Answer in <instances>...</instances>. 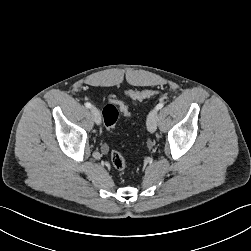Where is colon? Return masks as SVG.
<instances>
[{
  "label": "colon",
  "mask_w": 251,
  "mask_h": 251,
  "mask_svg": "<svg viewBox=\"0 0 251 251\" xmlns=\"http://www.w3.org/2000/svg\"><path fill=\"white\" fill-rule=\"evenodd\" d=\"M156 93L155 90L145 89V90H128L126 95L134 100H143ZM119 112H122L124 115L129 116L130 111L128 106L116 99L114 96L110 98L108 104H106L102 110V116L105 123V126L108 129H113L119 116ZM110 159L113 167L119 171H123L126 168L125 158L118 151H111Z\"/></svg>",
  "instance_id": "colon-1"
}]
</instances>
